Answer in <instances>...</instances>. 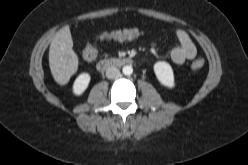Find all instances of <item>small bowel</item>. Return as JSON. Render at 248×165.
<instances>
[{"mask_svg": "<svg viewBox=\"0 0 248 165\" xmlns=\"http://www.w3.org/2000/svg\"><path fill=\"white\" fill-rule=\"evenodd\" d=\"M123 31L131 32L132 35L127 38H109V39H115L118 41L126 40V39L131 40L140 37L142 34V32L138 29H129ZM175 35L178 44L170 52L171 61L174 64L181 65L187 60L194 59L196 57L197 50L189 34L186 31L179 29L176 31Z\"/></svg>", "mask_w": 248, "mask_h": 165, "instance_id": "1", "label": "small bowel"}]
</instances>
